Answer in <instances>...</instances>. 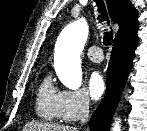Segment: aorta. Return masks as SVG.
I'll return each instance as SVG.
<instances>
[{
	"instance_id": "1",
	"label": "aorta",
	"mask_w": 147,
	"mask_h": 131,
	"mask_svg": "<svg viewBox=\"0 0 147 131\" xmlns=\"http://www.w3.org/2000/svg\"><path fill=\"white\" fill-rule=\"evenodd\" d=\"M88 25L83 19L67 25L57 40L54 54V67L59 80L69 89L77 90L82 84L80 54L88 37ZM113 131H120L118 119Z\"/></svg>"
}]
</instances>
